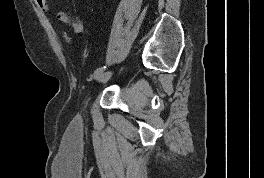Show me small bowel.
Segmentation results:
<instances>
[{"mask_svg": "<svg viewBox=\"0 0 264 178\" xmlns=\"http://www.w3.org/2000/svg\"><path fill=\"white\" fill-rule=\"evenodd\" d=\"M35 2L41 10L45 12L50 11V4L48 0H35ZM55 17L59 22L70 26L76 34L81 33L84 29V25L81 20L71 17L64 11H58Z\"/></svg>", "mask_w": 264, "mask_h": 178, "instance_id": "obj_1", "label": "small bowel"}]
</instances>
